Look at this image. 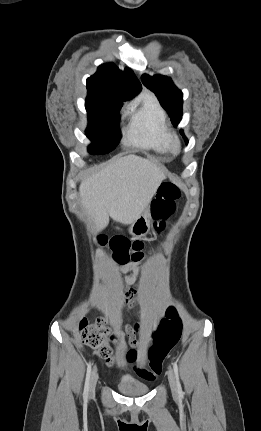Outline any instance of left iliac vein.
Here are the masks:
<instances>
[{
    "instance_id": "4c4485c4",
    "label": "left iliac vein",
    "mask_w": 261,
    "mask_h": 431,
    "mask_svg": "<svg viewBox=\"0 0 261 431\" xmlns=\"http://www.w3.org/2000/svg\"><path fill=\"white\" fill-rule=\"evenodd\" d=\"M168 380L170 384V388L173 394H177V385L175 381V376L173 370L171 368L168 369Z\"/></svg>"
}]
</instances>
